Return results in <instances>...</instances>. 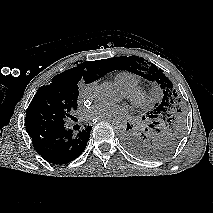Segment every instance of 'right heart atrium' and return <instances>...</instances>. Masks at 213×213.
Masks as SVG:
<instances>
[{"label": "right heart atrium", "instance_id": "obj_1", "mask_svg": "<svg viewBox=\"0 0 213 213\" xmlns=\"http://www.w3.org/2000/svg\"><path fill=\"white\" fill-rule=\"evenodd\" d=\"M96 83L90 82L81 85L79 89V99L83 102H90L94 98Z\"/></svg>", "mask_w": 213, "mask_h": 213}]
</instances>
